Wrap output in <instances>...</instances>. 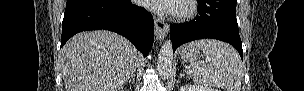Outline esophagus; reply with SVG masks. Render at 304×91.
Here are the masks:
<instances>
[{
    "label": "esophagus",
    "mask_w": 304,
    "mask_h": 91,
    "mask_svg": "<svg viewBox=\"0 0 304 91\" xmlns=\"http://www.w3.org/2000/svg\"><path fill=\"white\" fill-rule=\"evenodd\" d=\"M154 23L156 39L161 41L167 36L169 25L156 16H154Z\"/></svg>",
    "instance_id": "1"
}]
</instances>
